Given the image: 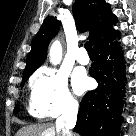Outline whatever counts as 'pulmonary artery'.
Listing matches in <instances>:
<instances>
[{
    "mask_svg": "<svg viewBox=\"0 0 136 136\" xmlns=\"http://www.w3.org/2000/svg\"><path fill=\"white\" fill-rule=\"evenodd\" d=\"M77 61L83 65H87L89 63V56L84 48H80L78 50Z\"/></svg>",
    "mask_w": 136,
    "mask_h": 136,
    "instance_id": "pulmonary-artery-1",
    "label": "pulmonary artery"
}]
</instances>
